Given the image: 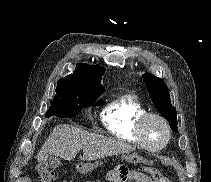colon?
Returning <instances> with one entry per match:
<instances>
[{"instance_id":"obj_1","label":"colon","mask_w":211,"mask_h":182,"mask_svg":"<svg viewBox=\"0 0 211 182\" xmlns=\"http://www.w3.org/2000/svg\"><path fill=\"white\" fill-rule=\"evenodd\" d=\"M37 169L42 182H54L56 180L55 173L51 170L49 164L40 155L38 157ZM79 173L83 172L82 167L78 168ZM113 172L111 180L117 182H170L169 179L161 172L151 167H143L140 169H130L118 166L111 170ZM143 172L149 173V176ZM88 182H102L99 179H93Z\"/></svg>"}]
</instances>
